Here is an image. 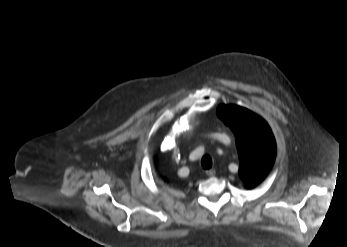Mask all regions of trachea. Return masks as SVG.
Here are the masks:
<instances>
[{
    "instance_id": "trachea-1",
    "label": "trachea",
    "mask_w": 347,
    "mask_h": 247,
    "mask_svg": "<svg viewBox=\"0 0 347 247\" xmlns=\"http://www.w3.org/2000/svg\"><path fill=\"white\" fill-rule=\"evenodd\" d=\"M201 165L204 169H210L212 166V159L209 155L203 156L201 160Z\"/></svg>"
}]
</instances>
